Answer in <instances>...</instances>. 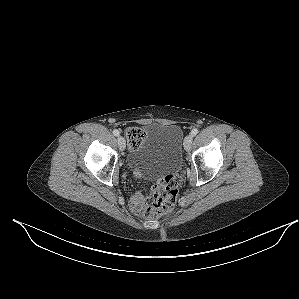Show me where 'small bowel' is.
I'll list each match as a JSON object with an SVG mask.
<instances>
[{
	"label": "small bowel",
	"instance_id": "c3829d8e",
	"mask_svg": "<svg viewBox=\"0 0 299 299\" xmlns=\"http://www.w3.org/2000/svg\"><path fill=\"white\" fill-rule=\"evenodd\" d=\"M148 198L141 192H136L131 199V207L135 212L143 213L148 204Z\"/></svg>",
	"mask_w": 299,
	"mask_h": 299
}]
</instances>
